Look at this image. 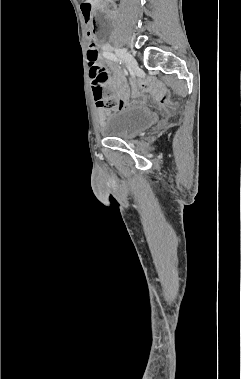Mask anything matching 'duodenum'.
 Instances as JSON below:
<instances>
[{"label": "duodenum", "instance_id": "410a0bca", "mask_svg": "<svg viewBox=\"0 0 241 379\" xmlns=\"http://www.w3.org/2000/svg\"><path fill=\"white\" fill-rule=\"evenodd\" d=\"M110 0H91L93 4L106 5Z\"/></svg>", "mask_w": 241, "mask_h": 379}]
</instances>
